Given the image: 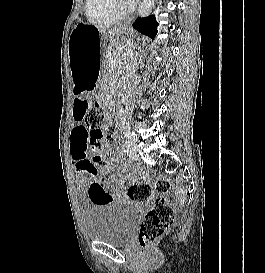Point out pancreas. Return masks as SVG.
<instances>
[{"mask_svg": "<svg viewBox=\"0 0 265 273\" xmlns=\"http://www.w3.org/2000/svg\"><path fill=\"white\" fill-rule=\"evenodd\" d=\"M130 52H132L131 48H115L111 50L106 60V66L110 70L118 69L123 63L130 61V57L127 55Z\"/></svg>", "mask_w": 265, "mask_h": 273, "instance_id": "pancreas-1", "label": "pancreas"}]
</instances>
